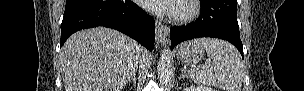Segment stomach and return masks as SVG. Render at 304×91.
Wrapping results in <instances>:
<instances>
[{
  "instance_id": "stomach-1",
  "label": "stomach",
  "mask_w": 304,
  "mask_h": 91,
  "mask_svg": "<svg viewBox=\"0 0 304 91\" xmlns=\"http://www.w3.org/2000/svg\"><path fill=\"white\" fill-rule=\"evenodd\" d=\"M203 54L204 49L198 45L197 40L184 42L177 49V57L187 64L199 62Z\"/></svg>"
}]
</instances>
